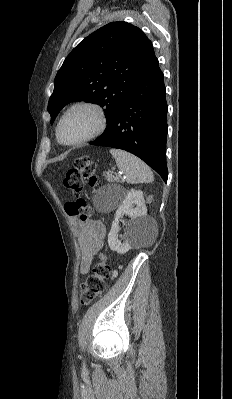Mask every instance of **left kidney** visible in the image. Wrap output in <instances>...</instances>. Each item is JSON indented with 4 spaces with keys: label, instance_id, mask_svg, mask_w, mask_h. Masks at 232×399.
<instances>
[{
    "label": "left kidney",
    "instance_id": "1",
    "mask_svg": "<svg viewBox=\"0 0 232 399\" xmlns=\"http://www.w3.org/2000/svg\"><path fill=\"white\" fill-rule=\"evenodd\" d=\"M135 205V207H134ZM124 213L130 215L124 235H119L120 229L119 219ZM152 229L151 219L147 217V207L140 190H131L125 196V200L119 205L115 219L112 221L111 229L108 233V243L113 251L118 253H126L132 249L135 243H142L144 237L150 233ZM122 237V239H118Z\"/></svg>",
    "mask_w": 232,
    "mask_h": 399
}]
</instances>
